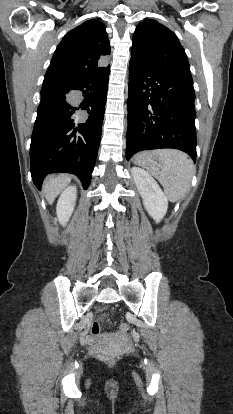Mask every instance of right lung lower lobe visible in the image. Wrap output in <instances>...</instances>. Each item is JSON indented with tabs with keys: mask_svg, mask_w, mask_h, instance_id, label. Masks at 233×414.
I'll list each match as a JSON object with an SVG mask.
<instances>
[{
	"mask_svg": "<svg viewBox=\"0 0 233 414\" xmlns=\"http://www.w3.org/2000/svg\"><path fill=\"white\" fill-rule=\"evenodd\" d=\"M110 70L75 79L45 77L30 146V171L41 188L48 173L91 180L107 97Z\"/></svg>",
	"mask_w": 233,
	"mask_h": 414,
	"instance_id": "1",
	"label": "right lung lower lobe"
}]
</instances>
